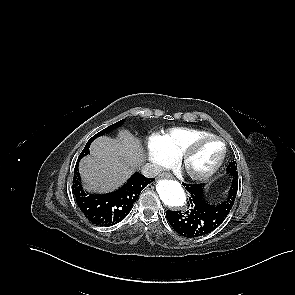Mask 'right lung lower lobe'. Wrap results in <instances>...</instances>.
I'll return each mask as SVG.
<instances>
[{"instance_id":"right-lung-lower-lobe-1","label":"right lung lower lobe","mask_w":295,"mask_h":295,"mask_svg":"<svg viewBox=\"0 0 295 295\" xmlns=\"http://www.w3.org/2000/svg\"><path fill=\"white\" fill-rule=\"evenodd\" d=\"M89 153H81L76 162L73 177V193L83 214L92 223L100 226H110L123 220L130 212L134 202L143 188L154 179L135 173L121 188L108 194H90L83 190L78 171L80 158Z\"/></svg>"}]
</instances>
